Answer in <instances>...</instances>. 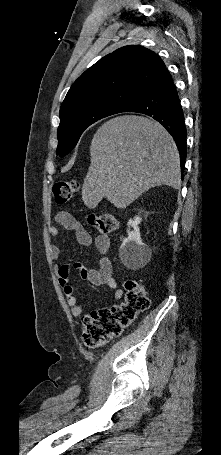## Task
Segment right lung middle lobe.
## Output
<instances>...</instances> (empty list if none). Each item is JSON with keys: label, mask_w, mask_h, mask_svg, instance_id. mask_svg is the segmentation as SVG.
I'll list each match as a JSON object with an SVG mask.
<instances>
[{"label": "right lung middle lobe", "mask_w": 221, "mask_h": 455, "mask_svg": "<svg viewBox=\"0 0 221 455\" xmlns=\"http://www.w3.org/2000/svg\"><path fill=\"white\" fill-rule=\"evenodd\" d=\"M125 108L119 103L106 101L89 104L60 116L56 154L65 156L74 148L88 126L104 117L123 112Z\"/></svg>", "instance_id": "1"}]
</instances>
